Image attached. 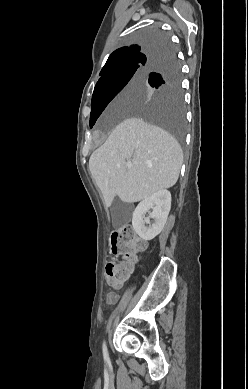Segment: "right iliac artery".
Returning a JSON list of instances; mask_svg holds the SVG:
<instances>
[{
	"label": "right iliac artery",
	"mask_w": 248,
	"mask_h": 389,
	"mask_svg": "<svg viewBox=\"0 0 248 389\" xmlns=\"http://www.w3.org/2000/svg\"><path fill=\"white\" fill-rule=\"evenodd\" d=\"M103 355H104V360L106 362H109V356H108V351L105 342L103 344Z\"/></svg>",
	"instance_id": "1"
}]
</instances>
